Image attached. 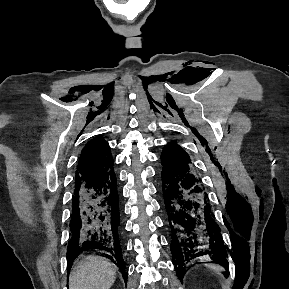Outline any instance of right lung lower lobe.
<instances>
[{
    "instance_id": "1",
    "label": "right lung lower lobe",
    "mask_w": 289,
    "mask_h": 289,
    "mask_svg": "<svg viewBox=\"0 0 289 289\" xmlns=\"http://www.w3.org/2000/svg\"><path fill=\"white\" fill-rule=\"evenodd\" d=\"M68 242V270L83 251L98 250L127 274L121 250V222L116 177L113 170L75 185Z\"/></svg>"
}]
</instances>
